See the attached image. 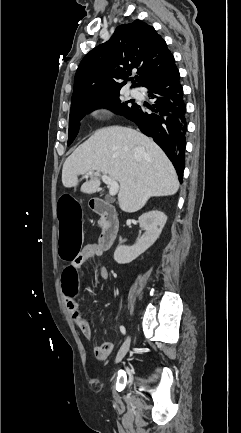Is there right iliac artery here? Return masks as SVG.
I'll return each mask as SVG.
<instances>
[{
  "mask_svg": "<svg viewBox=\"0 0 241 433\" xmlns=\"http://www.w3.org/2000/svg\"><path fill=\"white\" fill-rule=\"evenodd\" d=\"M120 331L125 335L126 334V330L124 326H120Z\"/></svg>",
  "mask_w": 241,
  "mask_h": 433,
  "instance_id": "obj_1",
  "label": "right iliac artery"
}]
</instances>
